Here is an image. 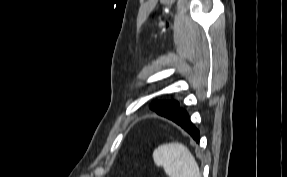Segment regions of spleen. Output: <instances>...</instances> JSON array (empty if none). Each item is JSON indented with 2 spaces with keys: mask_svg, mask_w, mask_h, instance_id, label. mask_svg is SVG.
I'll return each mask as SVG.
<instances>
[{
  "mask_svg": "<svg viewBox=\"0 0 287 177\" xmlns=\"http://www.w3.org/2000/svg\"><path fill=\"white\" fill-rule=\"evenodd\" d=\"M156 166L169 177H201L199 166L189 149L178 142L160 145L153 152Z\"/></svg>",
  "mask_w": 287,
  "mask_h": 177,
  "instance_id": "obj_1",
  "label": "spleen"
}]
</instances>
